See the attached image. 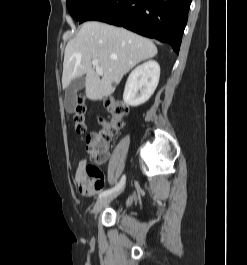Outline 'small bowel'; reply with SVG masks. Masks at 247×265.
<instances>
[{
	"instance_id": "small-bowel-1",
	"label": "small bowel",
	"mask_w": 247,
	"mask_h": 265,
	"mask_svg": "<svg viewBox=\"0 0 247 265\" xmlns=\"http://www.w3.org/2000/svg\"><path fill=\"white\" fill-rule=\"evenodd\" d=\"M75 184L83 196L92 197L98 194L104 186V178L102 174L98 177L90 176L85 171V160L81 159L74 176ZM133 201V197H129L126 204L129 205Z\"/></svg>"
}]
</instances>
